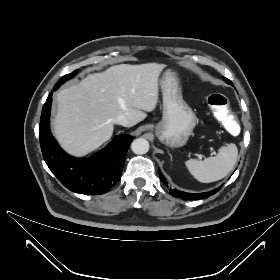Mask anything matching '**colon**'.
<instances>
[{"instance_id":"1","label":"colon","mask_w":280,"mask_h":280,"mask_svg":"<svg viewBox=\"0 0 280 280\" xmlns=\"http://www.w3.org/2000/svg\"><path fill=\"white\" fill-rule=\"evenodd\" d=\"M207 103L214 117L222 122L227 132L235 136L243 134L244 127L234 119L225 96L219 93H212L207 97Z\"/></svg>"}]
</instances>
